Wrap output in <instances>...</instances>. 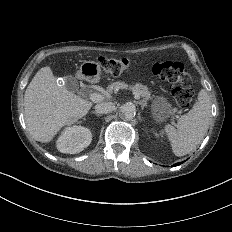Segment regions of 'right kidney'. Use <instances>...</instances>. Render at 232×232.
I'll return each instance as SVG.
<instances>
[{
    "label": "right kidney",
    "mask_w": 232,
    "mask_h": 232,
    "mask_svg": "<svg viewBox=\"0 0 232 232\" xmlns=\"http://www.w3.org/2000/svg\"><path fill=\"white\" fill-rule=\"evenodd\" d=\"M92 140V133L89 129L81 126H74L66 129L59 137L57 147L62 153L75 154L89 146Z\"/></svg>",
    "instance_id": "right-kidney-1"
}]
</instances>
